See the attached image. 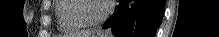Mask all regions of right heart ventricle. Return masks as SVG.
Masks as SVG:
<instances>
[{
    "mask_svg": "<svg viewBox=\"0 0 219 37\" xmlns=\"http://www.w3.org/2000/svg\"><path fill=\"white\" fill-rule=\"evenodd\" d=\"M77 0H57L54 11L57 24L62 32H73L85 26L75 16Z\"/></svg>",
    "mask_w": 219,
    "mask_h": 37,
    "instance_id": "1",
    "label": "right heart ventricle"
}]
</instances>
